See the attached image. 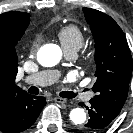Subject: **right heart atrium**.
Masks as SVG:
<instances>
[{"label":"right heart atrium","mask_w":133,"mask_h":133,"mask_svg":"<svg viewBox=\"0 0 133 133\" xmlns=\"http://www.w3.org/2000/svg\"><path fill=\"white\" fill-rule=\"evenodd\" d=\"M38 45H39V39H35L32 41L30 48H29V54L30 55H35L37 48H38Z\"/></svg>","instance_id":"d8ad5b80"}]
</instances>
